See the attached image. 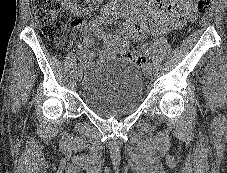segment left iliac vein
I'll return each mask as SVG.
<instances>
[{"mask_svg":"<svg viewBox=\"0 0 227 173\" xmlns=\"http://www.w3.org/2000/svg\"><path fill=\"white\" fill-rule=\"evenodd\" d=\"M143 74L145 77L149 78L151 76V68L145 65L143 67Z\"/></svg>","mask_w":227,"mask_h":173,"instance_id":"left-iliac-vein-1","label":"left iliac vein"}]
</instances>
